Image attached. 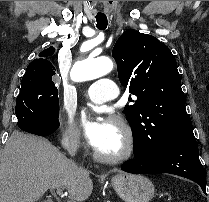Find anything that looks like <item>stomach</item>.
Instances as JSON below:
<instances>
[{"instance_id":"1","label":"stomach","mask_w":209,"mask_h":202,"mask_svg":"<svg viewBox=\"0 0 209 202\" xmlns=\"http://www.w3.org/2000/svg\"><path fill=\"white\" fill-rule=\"evenodd\" d=\"M112 185L125 202H149L155 194L153 183L142 175L120 173L113 177Z\"/></svg>"}]
</instances>
